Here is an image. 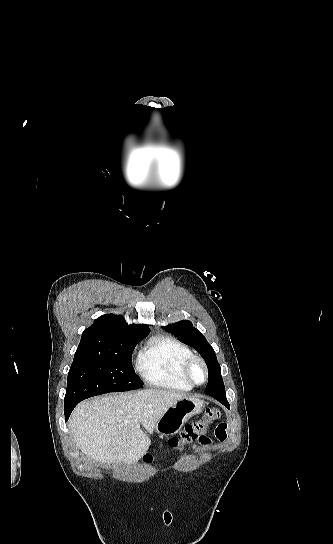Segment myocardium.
Returning a JSON list of instances; mask_svg holds the SVG:
<instances>
[{"label": "myocardium", "instance_id": "f54148a6", "mask_svg": "<svg viewBox=\"0 0 333 544\" xmlns=\"http://www.w3.org/2000/svg\"><path fill=\"white\" fill-rule=\"evenodd\" d=\"M195 364H200L204 370V379L202 382H196L191 375V370ZM181 376L186 383L192 387H198L205 384L209 379V369L203 358L197 355H192L187 358L181 367Z\"/></svg>", "mask_w": 333, "mask_h": 544}]
</instances>
